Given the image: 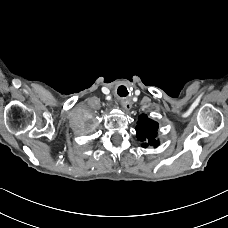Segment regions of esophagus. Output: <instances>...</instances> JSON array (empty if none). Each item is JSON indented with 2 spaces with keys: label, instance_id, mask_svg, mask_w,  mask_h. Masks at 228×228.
I'll return each instance as SVG.
<instances>
[{
  "label": "esophagus",
  "instance_id": "34e87169",
  "mask_svg": "<svg viewBox=\"0 0 228 228\" xmlns=\"http://www.w3.org/2000/svg\"><path fill=\"white\" fill-rule=\"evenodd\" d=\"M121 104L125 111H129L132 108V103L128 99H122Z\"/></svg>",
  "mask_w": 228,
  "mask_h": 228
}]
</instances>
